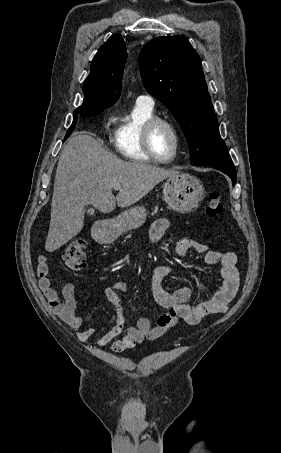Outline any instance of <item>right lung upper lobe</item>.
<instances>
[{"mask_svg":"<svg viewBox=\"0 0 281 453\" xmlns=\"http://www.w3.org/2000/svg\"><path fill=\"white\" fill-rule=\"evenodd\" d=\"M127 60L126 45L118 34L101 46L91 64L90 74L83 83V104L76 109L103 111L117 102Z\"/></svg>","mask_w":281,"mask_h":453,"instance_id":"obj_1","label":"right lung upper lobe"}]
</instances>
